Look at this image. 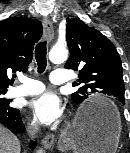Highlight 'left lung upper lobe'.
Masks as SVG:
<instances>
[{"instance_id":"1","label":"left lung upper lobe","mask_w":130,"mask_h":153,"mask_svg":"<svg viewBox=\"0 0 130 153\" xmlns=\"http://www.w3.org/2000/svg\"><path fill=\"white\" fill-rule=\"evenodd\" d=\"M66 39L70 56L65 68L78 70L80 86L71 98L82 103L93 94L117 97L124 103V81L121 59L113 43L98 30L77 18L66 19Z\"/></svg>"}]
</instances>
